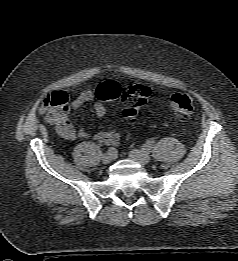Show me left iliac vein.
<instances>
[{
  "label": "left iliac vein",
  "instance_id": "left-iliac-vein-1",
  "mask_svg": "<svg viewBox=\"0 0 238 261\" xmlns=\"http://www.w3.org/2000/svg\"><path fill=\"white\" fill-rule=\"evenodd\" d=\"M129 157L132 160L139 163L140 165H147L151 162V157L147 153L137 150V149H132L129 152Z\"/></svg>",
  "mask_w": 238,
  "mask_h": 261
}]
</instances>
